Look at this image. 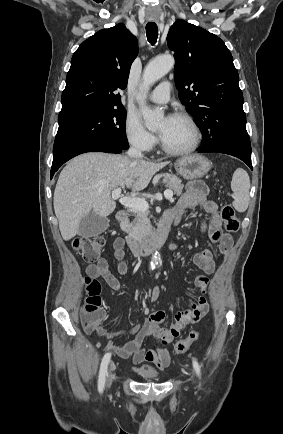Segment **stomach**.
<instances>
[{
  "mask_svg": "<svg viewBox=\"0 0 283 434\" xmlns=\"http://www.w3.org/2000/svg\"><path fill=\"white\" fill-rule=\"evenodd\" d=\"M177 172L185 179H197L206 175L211 163L202 155H190L178 159L175 163Z\"/></svg>",
  "mask_w": 283,
  "mask_h": 434,
  "instance_id": "stomach-1",
  "label": "stomach"
}]
</instances>
